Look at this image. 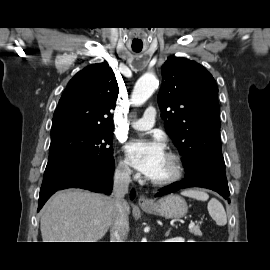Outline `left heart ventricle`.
Returning <instances> with one entry per match:
<instances>
[{"label": "left heart ventricle", "instance_id": "obj_1", "mask_svg": "<svg viewBox=\"0 0 270 270\" xmlns=\"http://www.w3.org/2000/svg\"><path fill=\"white\" fill-rule=\"evenodd\" d=\"M172 168H173V164H172L171 159L165 156L160 169L151 179L161 180L168 177L172 173Z\"/></svg>", "mask_w": 270, "mask_h": 270}]
</instances>
